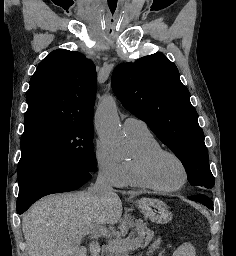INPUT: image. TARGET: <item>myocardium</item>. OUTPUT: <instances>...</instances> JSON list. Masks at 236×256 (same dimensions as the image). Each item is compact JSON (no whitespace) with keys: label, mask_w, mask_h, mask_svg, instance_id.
Returning <instances> with one entry per match:
<instances>
[{"label":"myocardium","mask_w":236,"mask_h":256,"mask_svg":"<svg viewBox=\"0 0 236 256\" xmlns=\"http://www.w3.org/2000/svg\"><path fill=\"white\" fill-rule=\"evenodd\" d=\"M162 155H170L173 158H175L182 166L184 170V179L181 184L175 186V187H166L161 184H159L154 176H153V164L154 162ZM136 165H137V171L139 178L142 182V184L152 190L160 191V192H174L179 189H181L188 181L189 179V171L186 163L184 160L175 152L158 148L149 152H146L144 154L138 155L136 157Z\"/></svg>","instance_id":"f54148a6"}]
</instances>
